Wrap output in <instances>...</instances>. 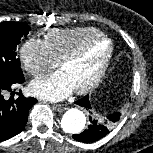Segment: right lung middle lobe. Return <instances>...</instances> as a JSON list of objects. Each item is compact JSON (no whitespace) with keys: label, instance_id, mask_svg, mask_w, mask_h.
I'll use <instances>...</instances> for the list:
<instances>
[{"label":"right lung middle lobe","instance_id":"1","mask_svg":"<svg viewBox=\"0 0 153 153\" xmlns=\"http://www.w3.org/2000/svg\"><path fill=\"white\" fill-rule=\"evenodd\" d=\"M30 27L25 23H0V76L17 79L23 77L20 60L16 57L17 45L26 37Z\"/></svg>","mask_w":153,"mask_h":153}]
</instances>
